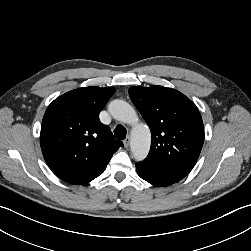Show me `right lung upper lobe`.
<instances>
[{
	"mask_svg": "<svg viewBox=\"0 0 251 251\" xmlns=\"http://www.w3.org/2000/svg\"><path fill=\"white\" fill-rule=\"evenodd\" d=\"M114 87H85L56 98L43 117L40 145L49 168L71 184H85L101 175L123 146L100 123L99 113Z\"/></svg>",
	"mask_w": 251,
	"mask_h": 251,
	"instance_id": "1",
	"label": "right lung upper lobe"
}]
</instances>
